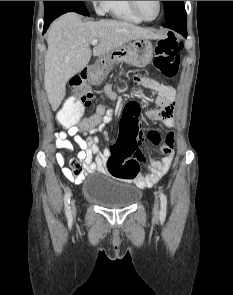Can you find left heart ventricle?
<instances>
[{"mask_svg":"<svg viewBox=\"0 0 233 295\" xmlns=\"http://www.w3.org/2000/svg\"><path fill=\"white\" fill-rule=\"evenodd\" d=\"M137 6L141 15L147 19H151L157 14V1H137Z\"/></svg>","mask_w":233,"mask_h":295,"instance_id":"1","label":"left heart ventricle"}]
</instances>
